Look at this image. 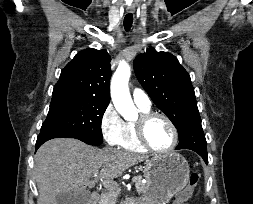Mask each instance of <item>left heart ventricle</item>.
<instances>
[{
  "label": "left heart ventricle",
  "instance_id": "left-heart-ventricle-1",
  "mask_svg": "<svg viewBox=\"0 0 253 204\" xmlns=\"http://www.w3.org/2000/svg\"><path fill=\"white\" fill-rule=\"evenodd\" d=\"M146 137L151 146L158 150L167 149L173 140L170 126L161 118H156L148 124Z\"/></svg>",
  "mask_w": 253,
  "mask_h": 204
}]
</instances>
